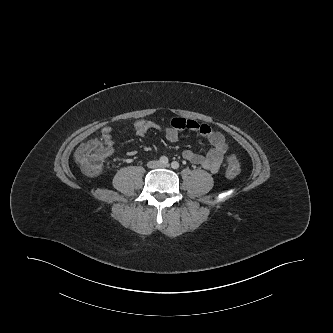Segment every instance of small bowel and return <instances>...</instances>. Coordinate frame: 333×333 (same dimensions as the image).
<instances>
[{"mask_svg":"<svg viewBox=\"0 0 333 333\" xmlns=\"http://www.w3.org/2000/svg\"><path fill=\"white\" fill-rule=\"evenodd\" d=\"M132 129L139 137H146L151 130H163L166 139L170 142L178 141L179 131L183 129L199 133L208 139L212 146L211 149L203 155L192 150H185L183 152V158L190 163L201 165L203 168L213 173L219 170L228 149L226 139L220 132L214 131L208 125L200 124L194 120L174 118L171 120L170 125L164 129L155 122L139 120L133 124ZM112 134L113 129L111 127H104L101 130V137L108 145L114 144ZM133 154V152H130L131 156Z\"/></svg>","mask_w":333,"mask_h":333,"instance_id":"obj_1","label":"small bowel"}]
</instances>
